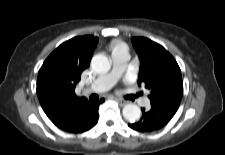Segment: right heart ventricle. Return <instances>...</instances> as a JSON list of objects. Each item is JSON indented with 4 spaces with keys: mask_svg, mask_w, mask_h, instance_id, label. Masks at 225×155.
<instances>
[{
    "mask_svg": "<svg viewBox=\"0 0 225 155\" xmlns=\"http://www.w3.org/2000/svg\"><path fill=\"white\" fill-rule=\"evenodd\" d=\"M122 46H124V45L121 44V43H117V44L114 45L113 50H114V49H117V48H119V47H122Z\"/></svg>",
    "mask_w": 225,
    "mask_h": 155,
    "instance_id": "obj_1",
    "label": "right heart ventricle"
}]
</instances>
